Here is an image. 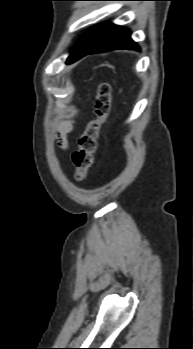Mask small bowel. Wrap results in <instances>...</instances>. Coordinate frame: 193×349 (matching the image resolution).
Wrapping results in <instances>:
<instances>
[{"label":"small bowel","mask_w":193,"mask_h":349,"mask_svg":"<svg viewBox=\"0 0 193 349\" xmlns=\"http://www.w3.org/2000/svg\"><path fill=\"white\" fill-rule=\"evenodd\" d=\"M73 129V122H65L61 125L60 130L57 134L58 144L60 147L66 149L68 147V138L67 135Z\"/></svg>","instance_id":"1"}]
</instances>
